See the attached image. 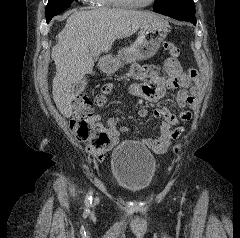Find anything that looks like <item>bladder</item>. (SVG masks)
Listing matches in <instances>:
<instances>
[{
  "label": "bladder",
  "mask_w": 240,
  "mask_h": 238,
  "mask_svg": "<svg viewBox=\"0 0 240 238\" xmlns=\"http://www.w3.org/2000/svg\"><path fill=\"white\" fill-rule=\"evenodd\" d=\"M110 167L117 186L138 194L151 186L156 172V161L153 154L142 144L125 141L114 148Z\"/></svg>",
  "instance_id": "1"
}]
</instances>
